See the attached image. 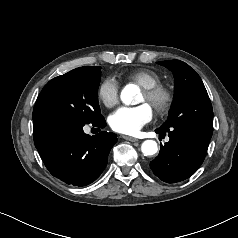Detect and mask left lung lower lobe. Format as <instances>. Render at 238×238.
Returning <instances> with one entry per match:
<instances>
[{"mask_svg":"<svg viewBox=\"0 0 238 238\" xmlns=\"http://www.w3.org/2000/svg\"><path fill=\"white\" fill-rule=\"evenodd\" d=\"M155 131L159 135L168 133L170 140L161 145L159 155L150 162L154 174L167 183L193 175L205 158L212 132L185 127Z\"/></svg>","mask_w":238,"mask_h":238,"instance_id":"obj_1","label":"left lung lower lobe"}]
</instances>
